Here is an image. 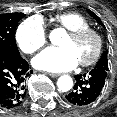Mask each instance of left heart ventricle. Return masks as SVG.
<instances>
[{
    "mask_svg": "<svg viewBox=\"0 0 117 117\" xmlns=\"http://www.w3.org/2000/svg\"><path fill=\"white\" fill-rule=\"evenodd\" d=\"M63 47L71 48L76 54L78 61L89 58L96 46V41L93 36H86L79 40L72 39L69 35L62 42Z\"/></svg>",
    "mask_w": 117,
    "mask_h": 117,
    "instance_id": "left-heart-ventricle-1",
    "label": "left heart ventricle"
}]
</instances>
